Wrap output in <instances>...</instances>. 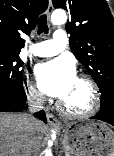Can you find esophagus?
<instances>
[{
  "mask_svg": "<svg viewBox=\"0 0 114 156\" xmlns=\"http://www.w3.org/2000/svg\"><path fill=\"white\" fill-rule=\"evenodd\" d=\"M52 12H53V5H52V1L49 0V5L47 8V16L49 19L51 17ZM46 116H47V121L50 126L57 127V128L60 127V123H59L58 119L53 114L48 112L46 114Z\"/></svg>",
  "mask_w": 114,
  "mask_h": 156,
  "instance_id": "1",
  "label": "esophagus"
}]
</instances>
